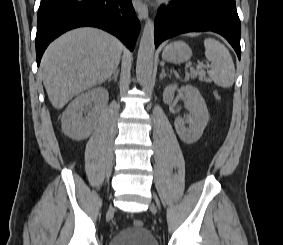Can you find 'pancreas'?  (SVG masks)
I'll list each match as a JSON object with an SVG mask.
<instances>
[{"label": "pancreas", "instance_id": "obj_1", "mask_svg": "<svg viewBox=\"0 0 283 245\" xmlns=\"http://www.w3.org/2000/svg\"><path fill=\"white\" fill-rule=\"evenodd\" d=\"M190 76H191V78L199 77V79H200L201 81L207 80V78H206V73H205V71H203V70H194V71H191Z\"/></svg>", "mask_w": 283, "mask_h": 245}]
</instances>
